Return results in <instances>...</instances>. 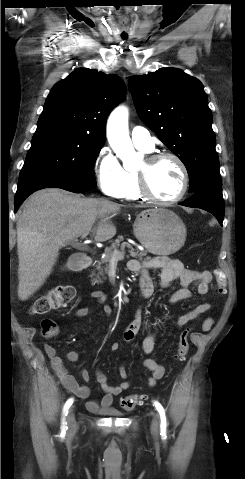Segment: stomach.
I'll use <instances>...</instances> for the list:
<instances>
[{"mask_svg": "<svg viewBox=\"0 0 245 479\" xmlns=\"http://www.w3.org/2000/svg\"><path fill=\"white\" fill-rule=\"evenodd\" d=\"M139 242L152 254L170 255L185 243L186 227L171 210L152 208L141 211L133 224Z\"/></svg>", "mask_w": 245, "mask_h": 479, "instance_id": "obj_1", "label": "stomach"}]
</instances>
